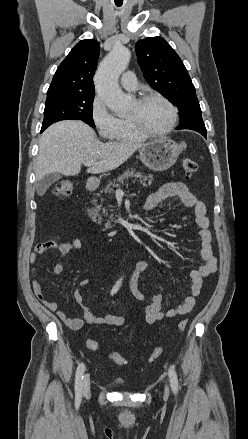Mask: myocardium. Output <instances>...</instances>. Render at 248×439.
Returning <instances> with one entry per match:
<instances>
[{"instance_id":"1","label":"myocardium","mask_w":248,"mask_h":439,"mask_svg":"<svg viewBox=\"0 0 248 439\" xmlns=\"http://www.w3.org/2000/svg\"><path fill=\"white\" fill-rule=\"evenodd\" d=\"M151 99H159V100L163 101L171 110V115H172L171 123L165 130L156 132V131H151V130L146 129L142 123L139 112H136L132 116H128V119H129L132 127L135 129V131H137L139 134H141L145 137H160V136L168 135L169 133H171L174 130V128L177 125L178 110H177L176 106L168 98H166L165 96H163L159 93L143 94L136 99V103H137L138 107L140 108L147 101H149Z\"/></svg>"}]
</instances>
